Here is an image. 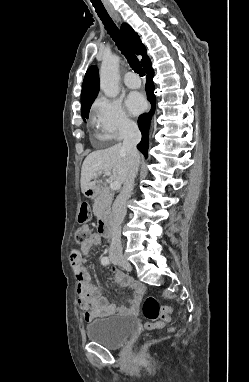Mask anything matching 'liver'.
Returning <instances> with one entry per match:
<instances>
[{
  "label": "liver",
  "instance_id": "6515ba94",
  "mask_svg": "<svg viewBox=\"0 0 249 382\" xmlns=\"http://www.w3.org/2000/svg\"><path fill=\"white\" fill-rule=\"evenodd\" d=\"M129 170V157L123 144L118 143L107 149L90 153L84 160L81 169V191L96 188V179L102 171L110 172L113 181L124 183Z\"/></svg>",
  "mask_w": 249,
  "mask_h": 382
}]
</instances>
